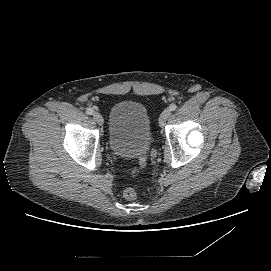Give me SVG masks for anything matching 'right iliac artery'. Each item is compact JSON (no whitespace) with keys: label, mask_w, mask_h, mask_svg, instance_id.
<instances>
[{"label":"right iliac artery","mask_w":271,"mask_h":271,"mask_svg":"<svg viewBox=\"0 0 271 271\" xmlns=\"http://www.w3.org/2000/svg\"><path fill=\"white\" fill-rule=\"evenodd\" d=\"M86 113L88 115H92L94 113V110L92 108H87Z\"/></svg>","instance_id":"1"}]
</instances>
